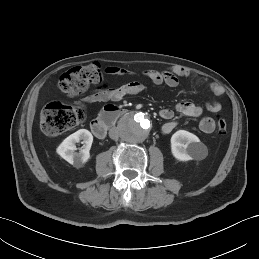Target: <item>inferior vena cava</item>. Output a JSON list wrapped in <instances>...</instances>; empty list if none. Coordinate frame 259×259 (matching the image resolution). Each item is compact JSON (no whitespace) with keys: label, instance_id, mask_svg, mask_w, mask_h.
Wrapping results in <instances>:
<instances>
[{"label":"inferior vena cava","instance_id":"602c4592","mask_svg":"<svg viewBox=\"0 0 259 259\" xmlns=\"http://www.w3.org/2000/svg\"><path fill=\"white\" fill-rule=\"evenodd\" d=\"M119 135H120V132L117 128L110 129L109 136L111 139L116 140V139H118Z\"/></svg>","mask_w":259,"mask_h":259}]
</instances>
